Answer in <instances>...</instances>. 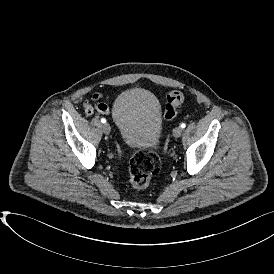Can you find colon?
Wrapping results in <instances>:
<instances>
[{
  "mask_svg": "<svg viewBox=\"0 0 274 274\" xmlns=\"http://www.w3.org/2000/svg\"><path fill=\"white\" fill-rule=\"evenodd\" d=\"M167 102L164 110V118L172 120L181 104L184 96L179 91H173L167 95ZM160 169V158L151 149H142L135 152L130 160V184L133 189L141 191L149 187L153 174Z\"/></svg>",
  "mask_w": 274,
  "mask_h": 274,
  "instance_id": "colon-1",
  "label": "colon"
}]
</instances>
